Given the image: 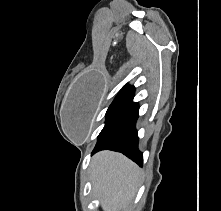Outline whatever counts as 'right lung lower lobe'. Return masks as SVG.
<instances>
[{
    "mask_svg": "<svg viewBox=\"0 0 221 211\" xmlns=\"http://www.w3.org/2000/svg\"><path fill=\"white\" fill-rule=\"evenodd\" d=\"M138 118V104L131 101L114 123L98 137L92 154L109 149L118 151L142 166L143 155L138 149L135 124Z\"/></svg>",
    "mask_w": 221,
    "mask_h": 211,
    "instance_id": "obj_1",
    "label": "right lung lower lobe"
}]
</instances>
